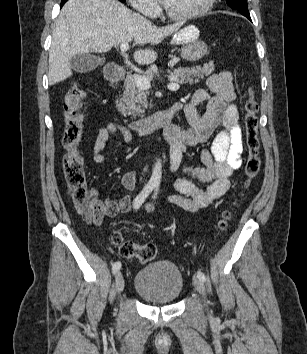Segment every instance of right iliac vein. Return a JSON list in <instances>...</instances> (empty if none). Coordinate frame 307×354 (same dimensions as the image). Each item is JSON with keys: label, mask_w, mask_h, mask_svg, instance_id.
Instances as JSON below:
<instances>
[{"label": "right iliac vein", "mask_w": 307, "mask_h": 354, "mask_svg": "<svg viewBox=\"0 0 307 354\" xmlns=\"http://www.w3.org/2000/svg\"><path fill=\"white\" fill-rule=\"evenodd\" d=\"M125 281L121 273L116 276V289L118 293H121L124 289Z\"/></svg>", "instance_id": "63e3f726"}]
</instances>
